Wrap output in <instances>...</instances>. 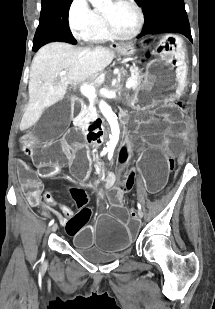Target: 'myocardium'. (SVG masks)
<instances>
[{
  "instance_id": "1",
  "label": "myocardium",
  "mask_w": 215,
  "mask_h": 309,
  "mask_svg": "<svg viewBox=\"0 0 215 309\" xmlns=\"http://www.w3.org/2000/svg\"><path fill=\"white\" fill-rule=\"evenodd\" d=\"M120 7H124L128 9L132 15H133V22H132V27H112V20L111 19H106L105 22L103 23L104 28L103 30H107V35H110L111 38H120L119 40L121 41V38H126V39H132L134 38L142 24V16L139 11V9L131 4H121Z\"/></svg>"
}]
</instances>
